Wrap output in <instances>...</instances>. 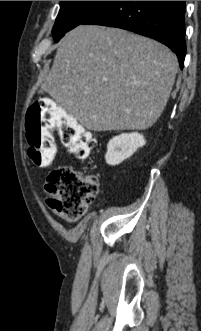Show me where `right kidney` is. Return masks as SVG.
Here are the masks:
<instances>
[{
	"instance_id": "ca27d5eb",
	"label": "right kidney",
	"mask_w": 201,
	"mask_h": 331,
	"mask_svg": "<svg viewBox=\"0 0 201 331\" xmlns=\"http://www.w3.org/2000/svg\"><path fill=\"white\" fill-rule=\"evenodd\" d=\"M145 143L144 136L137 132L122 133L113 137L107 145L106 163L112 166L120 164Z\"/></svg>"
}]
</instances>
